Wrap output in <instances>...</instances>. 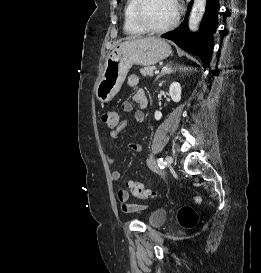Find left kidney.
<instances>
[{
  "label": "left kidney",
  "instance_id": "obj_1",
  "mask_svg": "<svg viewBox=\"0 0 261 273\" xmlns=\"http://www.w3.org/2000/svg\"><path fill=\"white\" fill-rule=\"evenodd\" d=\"M169 95L171 99L178 103L181 100V86L178 82H173L169 88ZM154 117L156 120L162 118V113L160 111H155Z\"/></svg>",
  "mask_w": 261,
  "mask_h": 273
}]
</instances>
